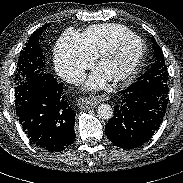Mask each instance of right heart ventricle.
<instances>
[{"mask_svg":"<svg viewBox=\"0 0 183 183\" xmlns=\"http://www.w3.org/2000/svg\"><path fill=\"white\" fill-rule=\"evenodd\" d=\"M127 27L119 24L94 25L81 35V42L86 52L92 57H99L121 39L134 36Z\"/></svg>","mask_w":183,"mask_h":183,"instance_id":"1","label":"right heart ventricle"}]
</instances>
